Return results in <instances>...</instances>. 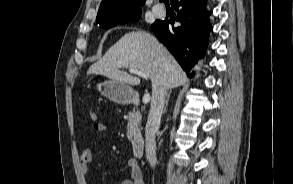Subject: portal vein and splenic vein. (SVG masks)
<instances>
[{"instance_id":"obj_1","label":"portal vein and splenic vein","mask_w":293,"mask_h":184,"mask_svg":"<svg viewBox=\"0 0 293 184\" xmlns=\"http://www.w3.org/2000/svg\"><path fill=\"white\" fill-rule=\"evenodd\" d=\"M129 72L132 73V74H137L138 76H140V77H142L144 79L148 78V76L145 73H143V72H141V71H139L137 69L129 68ZM150 99H151L150 94L146 93L143 96L142 101H143L144 104H147V103H149Z\"/></svg>"}]
</instances>
